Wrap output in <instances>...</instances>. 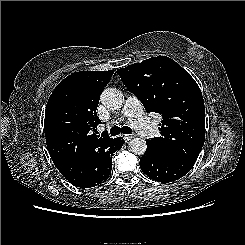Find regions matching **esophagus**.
I'll use <instances>...</instances> for the list:
<instances>
[{
	"label": "esophagus",
	"mask_w": 245,
	"mask_h": 245,
	"mask_svg": "<svg viewBox=\"0 0 245 245\" xmlns=\"http://www.w3.org/2000/svg\"><path fill=\"white\" fill-rule=\"evenodd\" d=\"M134 137H135L134 134L124 135L125 141H129V140L133 139Z\"/></svg>",
	"instance_id": "obj_1"
}]
</instances>
